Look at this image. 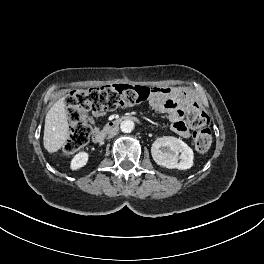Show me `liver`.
Here are the masks:
<instances>
[{
    "instance_id": "1",
    "label": "liver",
    "mask_w": 264,
    "mask_h": 264,
    "mask_svg": "<svg viewBox=\"0 0 264 264\" xmlns=\"http://www.w3.org/2000/svg\"><path fill=\"white\" fill-rule=\"evenodd\" d=\"M68 127L65 102L62 97L52 105L45 117L43 145L49 153L58 151L64 145L68 137Z\"/></svg>"
}]
</instances>
